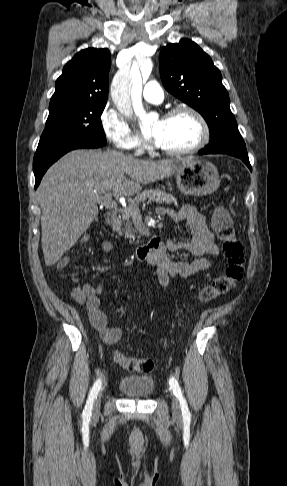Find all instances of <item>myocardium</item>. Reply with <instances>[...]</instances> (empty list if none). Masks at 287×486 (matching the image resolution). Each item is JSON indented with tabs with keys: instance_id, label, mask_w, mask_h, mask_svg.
<instances>
[{
	"instance_id": "f54148a6",
	"label": "myocardium",
	"mask_w": 287,
	"mask_h": 486,
	"mask_svg": "<svg viewBox=\"0 0 287 486\" xmlns=\"http://www.w3.org/2000/svg\"><path fill=\"white\" fill-rule=\"evenodd\" d=\"M181 114L191 115L197 121L200 128L199 140L193 146L179 150L165 149L156 145L155 148L164 155L171 157H180L194 154L203 149L210 141V129L208 123L204 116L195 108H192L190 106H179L173 108L165 114L164 119H171Z\"/></svg>"
}]
</instances>
